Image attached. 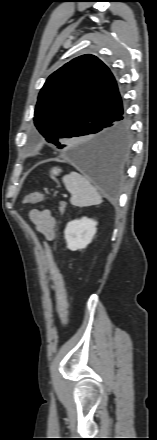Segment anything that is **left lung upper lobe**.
Masks as SVG:
<instances>
[{
  "label": "left lung upper lobe",
  "instance_id": "5c2ea615",
  "mask_svg": "<svg viewBox=\"0 0 157 440\" xmlns=\"http://www.w3.org/2000/svg\"><path fill=\"white\" fill-rule=\"evenodd\" d=\"M123 107L109 68L93 55L79 56L49 76L35 108L34 124L58 148L68 139L96 134Z\"/></svg>",
  "mask_w": 157,
  "mask_h": 440
}]
</instances>
